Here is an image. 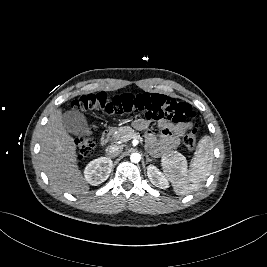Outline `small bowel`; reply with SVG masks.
<instances>
[{
	"mask_svg": "<svg viewBox=\"0 0 267 267\" xmlns=\"http://www.w3.org/2000/svg\"><path fill=\"white\" fill-rule=\"evenodd\" d=\"M148 122L144 119H137L134 126L138 130H146V141L149 149L153 153L176 149L180 146L181 138L192 127L191 123L173 124L167 121L158 122L159 134L156 135L148 129Z\"/></svg>",
	"mask_w": 267,
	"mask_h": 267,
	"instance_id": "obj_1",
	"label": "small bowel"
}]
</instances>
